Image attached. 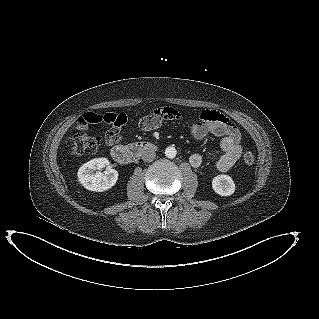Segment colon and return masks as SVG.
<instances>
[{
  "label": "colon",
  "instance_id": "colon-1",
  "mask_svg": "<svg viewBox=\"0 0 319 319\" xmlns=\"http://www.w3.org/2000/svg\"><path fill=\"white\" fill-rule=\"evenodd\" d=\"M103 121L121 127L128 123L129 116L125 112L121 113H106L103 115ZM101 144V138L91 136L86 133H75L70 136L69 151L72 155H81L89 150L98 147ZM243 161L247 164H252L255 161V154L248 148H244L242 152Z\"/></svg>",
  "mask_w": 319,
  "mask_h": 319
}]
</instances>
